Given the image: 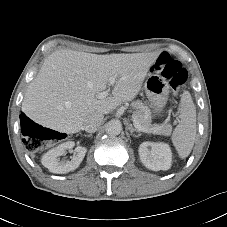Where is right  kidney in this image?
<instances>
[{"instance_id":"1","label":"right kidney","mask_w":227,"mask_h":227,"mask_svg":"<svg viewBox=\"0 0 227 227\" xmlns=\"http://www.w3.org/2000/svg\"><path fill=\"white\" fill-rule=\"evenodd\" d=\"M75 146L73 141H68L58 145L49 150L42 156L41 162L44 167L48 168L50 172L56 174H65L75 170L81 164L87 152L86 147L77 146L71 160L60 157L63 156L66 150H70Z\"/></svg>"}]
</instances>
